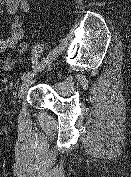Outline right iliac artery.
Returning a JSON list of instances; mask_svg holds the SVG:
<instances>
[{
  "label": "right iliac artery",
  "instance_id": "82829eb1",
  "mask_svg": "<svg viewBox=\"0 0 131 177\" xmlns=\"http://www.w3.org/2000/svg\"><path fill=\"white\" fill-rule=\"evenodd\" d=\"M41 72H44V69H41ZM34 75L32 72L28 71V72H24L23 75L21 76V80H25L26 78L30 77Z\"/></svg>",
  "mask_w": 131,
  "mask_h": 177
}]
</instances>
